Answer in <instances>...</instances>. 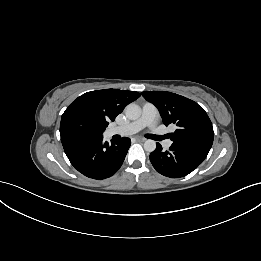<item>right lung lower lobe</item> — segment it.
<instances>
[{
  "label": "right lung lower lobe",
  "mask_w": 261,
  "mask_h": 261,
  "mask_svg": "<svg viewBox=\"0 0 261 261\" xmlns=\"http://www.w3.org/2000/svg\"><path fill=\"white\" fill-rule=\"evenodd\" d=\"M64 151L74 166L83 175L93 179H105L121 167L131 141L123 137L111 144L103 136H61Z\"/></svg>",
  "instance_id": "98d812e1"
}]
</instances>
